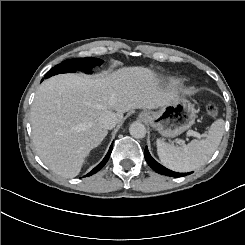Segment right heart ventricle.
I'll return each mask as SVG.
<instances>
[{"label":"right heart ventricle","mask_w":245,"mask_h":245,"mask_svg":"<svg viewBox=\"0 0 245 245\" xmlns=\"http://www.w3.org/2000/svg\"><path fill=\"white\" fill-rule=\"evenodd\" d=\"M169 82L171 83V84H178L179 82H180V80L179 79H177V78H169Z\"/></svg>","instance_id":"e07e8e85"}]
</instances>
